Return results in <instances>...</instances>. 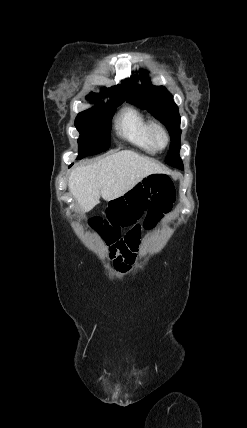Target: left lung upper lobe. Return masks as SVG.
<instances>
[{
	"label": "left lung upper lobe",
	"instance_id": "obj_1",
	"mask_svg": "<svg viewBox=\"0 0 247 428\" xmlns=\"http://www.w3.org/2000/svg\"><path fill=\"white\" fill-rule=\"evenodd\" d=\"M141 80V85L136 83V77L123 81L124 97L127 102L141 109H147L166 126L171 137V144L165 162L176 168L183 166L179 157L180 115L173 96L163 86L151 85L147 77H141Z\"/></svg>",
	"mask_w": 247,
	"mask_h": 428
}]
</instances>
